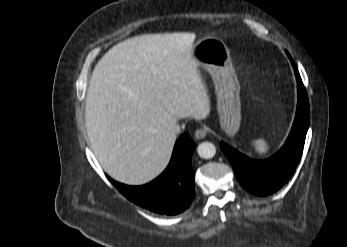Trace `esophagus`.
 Wrapping results in <instances>:
<instances>
[{
    "label": "esophagus",
    "mask_w": 347,
    "mask_h": 247,
    "mask_svg": "<svg viewBox=\"0 0 347 247\" xmlns=\"http://www.w3.org/2000/svg\"><path fill=\"white\" fill-rule=\"evenodd\" d=\"M196 139H203L207 135V130L204 128L197 129L194 133Z\"/></svg>",
    "instance_id": "1"
}]
</instances>
